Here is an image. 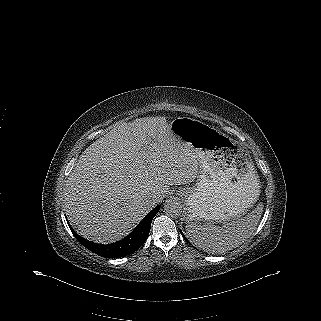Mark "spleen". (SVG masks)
Here are the masks:
<instances>
[{
  "label": "spleen",
  "mask_w": 321,
  "mask_h": 321,
  "mask_svg": "<svg viewBox=\"0 0 321 321\" xmlns=\"http://www.w3.org/2000/svg\"><path fill=\"white\" fill-rule=\"evenodd\" d=\"M263 204L245 217L216 226L206 221L188 222L186 232L190 240L208 253L220 254L243 244L256 230L263 213Z\"/></svg>",
  "instance_id": "3e777b00"
}]
</instances>
